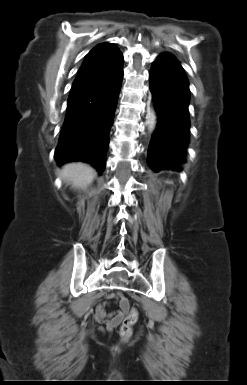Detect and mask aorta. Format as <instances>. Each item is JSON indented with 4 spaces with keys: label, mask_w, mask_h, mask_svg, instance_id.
<instances>
[{
    "label": "aorta",
    "mask_w": 247,
    "mask_h": 385,
    "mask_svg": "<svg viewBox=\"0 0 247 385\" xmlns=\"http://www.w3.org/2000/svg\"><path fill=\"white\" fill-rule=\"evenodd\" d=\"M154 124H155V115H154V113H151L150 114V121H149L150 128H153Z\"/></svg>",
    "instance_id": "1"
}]
</instances>
